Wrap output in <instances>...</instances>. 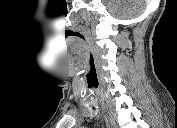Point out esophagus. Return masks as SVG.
Masks as SVG:
<instances>
[{"label":"esophagus","mask_w":177,"mask_h":128,"mask_svg":"<svg viewBox=\"0 0 177 128\" xmlns=\"http://www.w3.org/2000/svg\"><path fill=\"white\" fill-rule=\"evenodd\" d=\"M102 110L105 114V117H106L109 127L110 128H117V125H116L111 113L109 112L108 108L106 106H102Z\"/></svg>","instance_id":"1"}]
</instances>
